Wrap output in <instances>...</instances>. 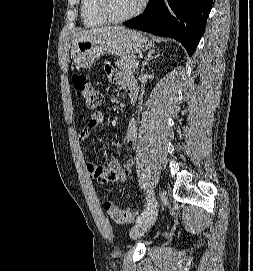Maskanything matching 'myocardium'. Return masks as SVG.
<instances>
[{
	"mask_svg": "<svg viewBox=\"0 0 253 271\" xmlns=\"http://www.w3.org/2000/svg\"><path fill=\"white\" fill-rule=\"evenodd\" d=\"M148 0H141L139 5L132 12L124 16L114 15L108 8V0H96L98 14L109 23H121L139 16L145 9Z\"/></svg>",
	"mask_w": 253,
	"mask_h": 271,
	"instance_id": "f54148a6",
	"label": "myocardium"
}]
</instances>
